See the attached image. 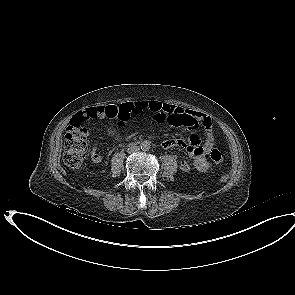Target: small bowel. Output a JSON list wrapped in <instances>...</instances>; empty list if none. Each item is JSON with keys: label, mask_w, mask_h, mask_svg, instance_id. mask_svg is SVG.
<instances>
[{"label": "small bowel", "mask_w": 295, "mask_h": 295, "mask_svg": "<svg viewBox=\"0 0 295 295\" xmlns=\"http://www.w3.org/2000/svg\"><path fill=\"white\" fill-rule=\"evenodd\" d=\"M125 105H129L133 109L134 115L137 117L141 116L146 111H150L153 113L155 120L159 122H164L169 126L180 127L184 130L193 131L187 141L182 139H168L162 143V147L165 149H185L189 157L192 159L193 167L197 171L206 172L210 169L211 164L206 159V156L215 145V137L209 116L158 100L135 101ZM104 111L105 106L85 108L76 114L71 120V123L84 124L90 120L102 118L104 117ZM199 128L204 130L205 139L203 143L201 142L200 135L195 132ZM108 132L117 140L122 138L120 132L113 127L109 128ZM90 156L94 163H101L103 160V156L98 151L96 143L92 146ZM179 167L183 171H189L191 169V165L186 159L180 160Z\"/></svg>", "instance_id": "1"}]
</instances>
